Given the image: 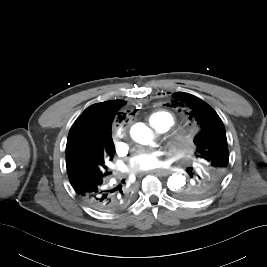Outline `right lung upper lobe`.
I'll use <instances>...</instances> for the list:
<instances>
[{"label":"right lung upper lobe","mask_w":267,"mask_h":267,"mask_svg":"<svg viewBox=\"0 0 267 267\" xmlns=\"http://www.w3.org/2000/svg\"><path fill=\"white\" fill-rule=\"evenodd\" d=\"M123 100L106 101L88 107L72 125L66 149L77 148L83 140L99 143L111 136V125ZM120 118L121 113L117 114Z\"/></svg>","instance_id":"right-lung-upper-lobe-1"}]
</instances>
